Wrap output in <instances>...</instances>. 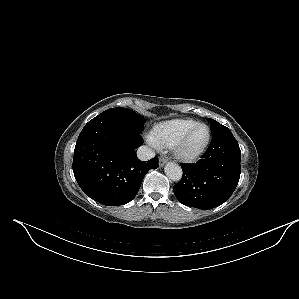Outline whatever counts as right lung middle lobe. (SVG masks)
I'll list each match as a JSON object with an SVG mask.
<instances>
[{
    "label": "right lung middle lobe",
    "mask_w": 299,
    "mask_h": 299,
    "mask_svg": "<svg viewBox=\"0 0 299 299\" xmlns=\"http://www.w3.org/2000/svg\"><path fill=\"white\" fill-rule=\"evenodd\" d=\"M100 115L112 116L120 119L140 134L142 133L145 124V119L141 115L127 108L107 109Z\"/></svg>",
    "instance_id": "dd1d6c3e"
}]
</instances>
